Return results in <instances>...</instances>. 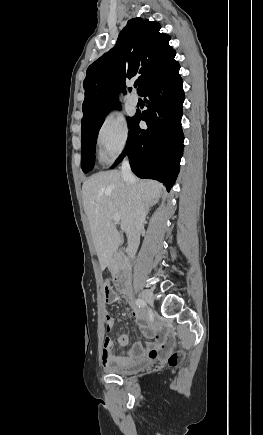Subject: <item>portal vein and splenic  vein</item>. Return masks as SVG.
Wrapping results in <instances>:
<instances>
[{"label": "portal vein and splenic vein", "instance_id": "obj_1", "mask_svg": "<svg viewBox=\"0 0 263 435\" xmlns=\"http://www.w3.org/2000/svg\"><path fill=\"white\" fill-rule=\"evenodd\" d=\"M112 219L114 222H119L120 221V216L119 215H113Z\"/></svg>", "mask_w": 263, "mask_h": 435}]
</instances>
